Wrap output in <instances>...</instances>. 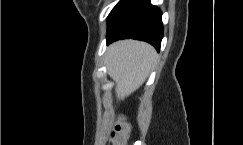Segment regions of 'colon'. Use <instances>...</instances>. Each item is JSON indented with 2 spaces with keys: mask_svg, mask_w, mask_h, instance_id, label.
<instances>
[{
  "mask_svg": "<svg viewBox=\"0 0 243 145\" xmlns=\"http://www.w3.org/2000/svg\"><path fill=\"white\" fill-rule=\"evenodd\" d=\"M130 133V126L121 120L111 133V140L108 145H124Z\"/></svg>",
  "mask_w": 243,
  "mask_h": 145,
  "instance_id": "colon-1",
  "label": "colon"
}]
</instances>
